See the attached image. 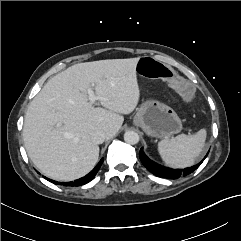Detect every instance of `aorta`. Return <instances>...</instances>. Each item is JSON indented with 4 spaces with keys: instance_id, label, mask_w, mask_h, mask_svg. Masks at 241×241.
<instances>
[{
    "instance_id": "obj_1",
    "label": "aorta",
    "mask_w": 241,
    "mask_h": 241,
    "mask_svg": "<svg viewBox=\"0 0 241 241\" xmlns=\"http://www.w3.org/2000/svg\"><path fill=\"white\" fill-rule=\"evenodd\" d=\"M124 141L131 145L137 144L139 142V135L134 131H126L124 134Z\"/></svg>"
}]
</instances>
